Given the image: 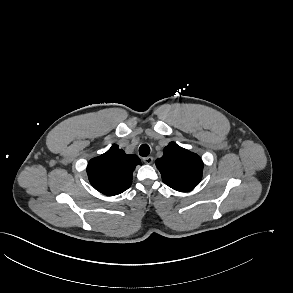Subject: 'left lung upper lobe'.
<instances>
[{"instance_id": "5c2ea615", "label": "left lung upper lobe", "mask_w": 293, "mask_h": 293, "mask_svg": "<svg viewBox=\"0 0 293 293\" xmlns=\"http://www.w3.org/2000/svg\"><path fill=\"white\" fill-rule=\"evenodd\" d=\"M163 182L174 190H192L202 178L203 162L195 153L170 142L164 154L156 160Z\"/></svg>"}]
</instances>
